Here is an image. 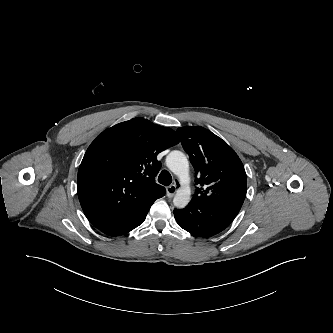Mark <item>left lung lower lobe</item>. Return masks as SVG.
<instances>
[{
    "label": "left lung lower lobe",
    "mask_w": 333,
    "mask_h": 333,
    "mask_svg": "<svg viewBox=\"0 0 333 333\" xmlns=\"http://www.w3.org/2000/svg\"><path fill=\"white\" fill-rule=\"evenodd\" d=\"M240 192L223 193L205 200L192 199L184 209H175L177 223L186 231L209 237L223 231L234 220L242 204Z\"/></svg>",
    "instance_id": "obj_1"
}]
</instances>
